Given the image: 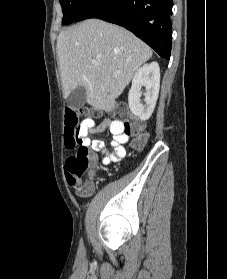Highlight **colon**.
Masks as SVG:
<instances>
[{"mask_svg":"<svg viewBox=\"0 0 227 279\" xmlns=\"http://www.w3.org/2000/svg\"><path fill=\"white\" fill-rule=\"evenodd\" d=\"M129 110L125 104H118L116 107V119L122 129L126 133H131L136 136L132 147L138 149L144 145L147 140V133L144 131L141 121L138 119H129ZM82 111L69 108L66 111V120L64 127V136L68 146L78 145L75 153L70 155L66 160V171L70 176L73 187L76 192L84 196L93 188L94 184L84 178L86 171L94 164L95 158L88 148V120L80 119Z\"/></svg>","mask_w":227,"mask_h":279,"instance_id":"obj_1","label":"colon"}]
</instances>
